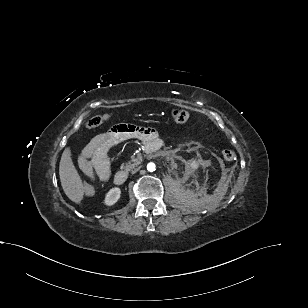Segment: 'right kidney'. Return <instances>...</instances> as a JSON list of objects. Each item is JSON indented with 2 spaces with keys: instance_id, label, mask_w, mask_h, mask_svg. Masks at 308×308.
Here are the masks:
<instances>
[{
  "instance_id": "obj_1",
  "label": "right kidney",
  "mask_w": 308,
  "mask_h": 308,
  "mask_svg": "<svg viewBox=\"0 0 308 308\" xmlns=\"http://www.w3.org/2000/svg\"><path fill=\"white\" fill-rule=\"evenodd\" d=\"M120 196H121L120 188L114 187L110 189L108 193L106 194L105 199H104V204L107 206H112L120 199Z\"/></svg>"
}]
</instances>
